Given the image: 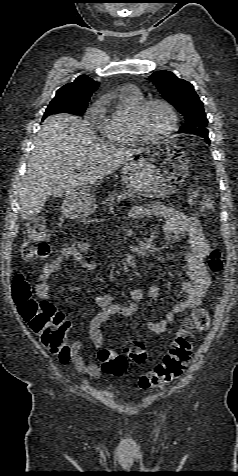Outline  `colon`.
I'll return each mask as SVG.
<instances>
[{
  "instance_id": "1",
  "label": "colon",
  "mask_w": 238,
  "mask_h": 476,
  "mask_svg": "<svg viewBox=\"0 0 238 476\" xmlns=\"http://www.w3.org/2000/svg\"><path fill=\"white\" fill-rule=\"evenodd\" d=\"M189 204L201 216L214 210V201L200 187L193 186L189 191ZM48 230L41 219H34L28 224L27 237L21 255L27 261L46 258L50 254L47 243ZM225 264L224 253L212 249L208 256V267L212 272H220ZM12 295L18 311L24 321L37 335L41 344L56 355H65L68 351L70 324L57 312L49 301L38 300L32 286L21 276L16 275L12 283ZM210 327L209 311L198 306L185 319L183 327L175 334L169 351L161 362L155 365L140 380L141 388L150 389L163 386L180 377L185 371L192 355L194 333L206 331ZM147 346L144 342L130 339L123 345V353L106 348L98 353L105 373L122 376L128 361L141 363L146 359Z\"/></svg>"
}]
</instances>
